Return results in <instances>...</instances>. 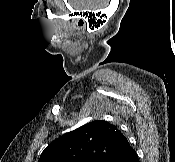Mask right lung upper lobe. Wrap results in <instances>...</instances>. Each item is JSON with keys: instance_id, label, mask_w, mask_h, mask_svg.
<instances>
[{"instance_id": "right-lung-upper-lobe-1", "label": "right lung upper lobe", "mask_w": 175, "mask_h": 162, "mask_svg": "<svg viewBox=\"0 0 175 162\" xmlns=\"http://www.w3.org/2000/svg\"><path fill=\"white\" fill-rule=\"evenodd\" d=\"M131 149L115 125L96 120L54 140L38 162H113Z\"/></svg>"}]
</instances>
